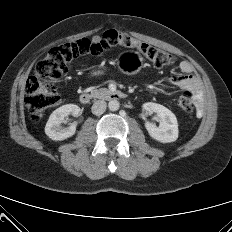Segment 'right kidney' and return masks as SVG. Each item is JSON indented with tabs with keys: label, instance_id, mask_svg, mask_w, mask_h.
Returning <instances> with one entry per match:
<instances>
[{
	"label": "right kidney",
	"instance_id": "1",
	"mask_svg": "<svg viewBox=\"0 0 232 232\" xmlns=\"http://www.w3.org/2000/svg\"><path fill=\"white\" fill-rule=\"evenodd\" d=\"M79 112L80 108L74 104H66L53 111L45 126L46 135L55 141L65 140L73 136L76 132V123H72L67 128L62 127L61 123L64 122L66 116L77 117Z\"/></svg>",
	"mask_w": 232,
	"mask_h": 232
}]
</instances>
